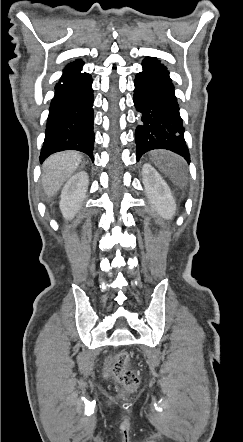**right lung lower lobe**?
Wrapping results in <instances>:
<instances>
[{
  "label": "right lung lower lobe",
  "instance_id": "right-lung-lower-lobe-1",
  "mask_svg": "<svg viewBox=\"0 0 243 442\" xmlns=\"http://www.w3.org/2000/svg\"><path fill=\"white\" fill-rule=\"evenodd\" d=\"M83 61L77 59L63 70L55 86L47 118L40 161L63 150H78L93 160V89L91 75L81 72Z\"/></svg>",
  "mask_w": 243,
  "mask_h": 442
}]
</instances>
